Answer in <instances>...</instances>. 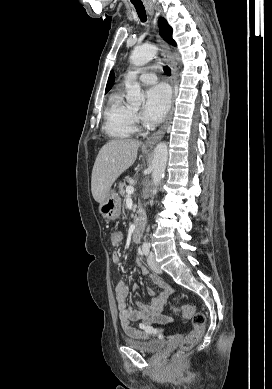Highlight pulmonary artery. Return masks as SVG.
<instances>
[{
  "instance_id": "obj_1",
  "label": "pulmonary artery",
  "mask_w": 272,
  "mask_h": 389,
  "mask_svg": "<svg viewBox=\"0 0 272 389\" xmlns=\"http://www.w3.org/2000/svg\"><path fill=\"white\" fill-rule=\"evenodd\" d=\"M155 67H146L139 73L138 79L144 84H154L157 81V76L154 73ZM129 79H125L128 82Z\"/></svg>"
}]
</instances>
